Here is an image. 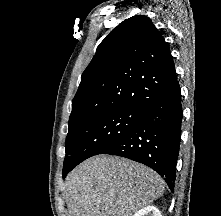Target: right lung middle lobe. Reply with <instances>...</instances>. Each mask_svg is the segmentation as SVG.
<instances>
[{
    "mask_svg": "<svg viewBox=\"0 0 221 216\" xmlns=\"http://www.w3.org/2000/svg\"><path fill=\"white\" fill-rule=\"evenodd\" d=\"M140 115L139 108H120L69 126L63 177L70 166L75 167L91 156L102 154L128 135L137 125Z\"/></svg>",
    "mask_w": 221,
    "mask_h": 216,
    "instance_id": "1",
    "label": "right lung middle lobe"
}]
</instances>
